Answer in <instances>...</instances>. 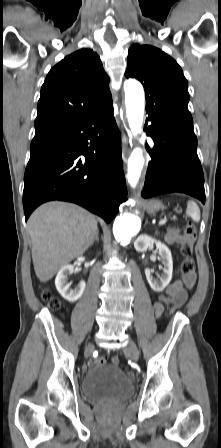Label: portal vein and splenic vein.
<instances>
[{"label":"portal vein and splenic vein","instance_id":"portal-vein-and-splenic-vein-1","mask_svg":"<svg viewBox=\"0 0 221 448\" xmlns=\"http://www.w3.org/2000/svg\"><path fill=\"white\" fill-rule=\"evenodd\" d=\"M166 222H167V220H166V218H164V219H162V220L159 221V225H160V226H161V225H165Z\"/></svg>","mask_w":221,"mask_h":448}]
</instances>
